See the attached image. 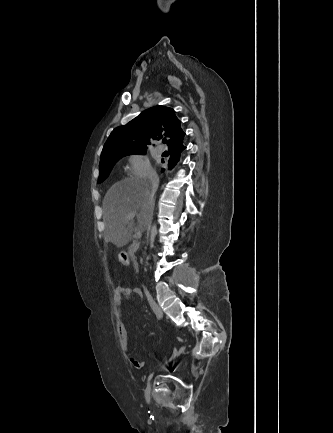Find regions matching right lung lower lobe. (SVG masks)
<instances>
[{"instance_id": "1", "label": "right lung lower lobe", "mask_w": 333, "mask_h": 433, "mask_svg": "<svg viewBox=\"0 0 333 433\" xmlns=\"http://www.w3.org/2000/svg\"><path fill=\"white\" fill-rule=\"evenodd\" d=\"M185 148L186 147L184 145H181V146H178L174 149L169 150L170 155H171V157L169 159V163H168L169 169H172L177 164V162L180 159V154ZM162 162H163V160H162ZM163 171H164V169H162V172Z\"/></svg>"}]
</instances>
